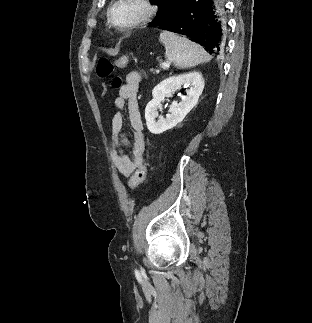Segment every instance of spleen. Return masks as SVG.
<instances>
[{"label": "spleen", "mask_w": 312, "mask_h": 323, "mask_svg": "<svg viewBox=\"0 0 312 323\" xmlns=\"http://www.w3.org/2000/svg\"><path fill=\"white\" fill-rule=\"evenodd\" d=\"M159 40L165 46V56L168 62L175 64L177 68H193V66L211 60V56L203 50L202 46L190 42L186 36L181 38L180 34L162 30Z\"/></svg>", "instance_id": "obj_1"}]
</instances>
